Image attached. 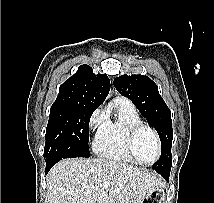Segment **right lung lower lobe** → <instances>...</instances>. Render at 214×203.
<instances>
[{
	"label": "right lung lower lobe",
	"mask_w": 214,
	"mask_h": 203,
	"mask_svg": "<svg viewBox=\"0 0 214 203\" xmlns=\"http://www.w3.org/2000/svg\"><path fill=\"white\" fill-rule=\"evenodd\" d=\"M55 163L53 162H46V173H48V171L51 169V167L54 165Z\"/></svg>",
	"instance_id": "1"
}]
</instances>
